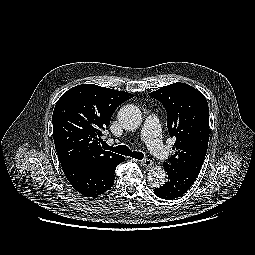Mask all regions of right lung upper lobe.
Returning a JSON list of instances; mask_svg holds the SVG:
<instances>
[{
  "instance_id": "right-lung-upper-lobe-1",
  "label": "right lung upper lobe",
  "mask_w": 255,
  "mask_h": 255,
  "mask_svg": "<svg viewBox=\"0 0 255 255\" xmlns=\"http://www.w3.org/2000/svg\"><path fill=\"white\" fill-rule=\"evenodd\" d=\"M132 97L131 93L94 84L78 85L65 92L52 116L61 166L104 165L119 158L102 149L101 135L116 108Z\"/></svg>"
}]
</instances>
